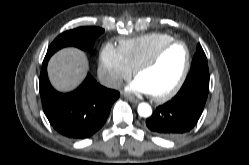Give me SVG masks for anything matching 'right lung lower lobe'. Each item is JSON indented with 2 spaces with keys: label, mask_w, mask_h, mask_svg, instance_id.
I'll use <instances>...</instances> for the list:
<instances>
[{
  "label": "right lung lower lobe",
  "mask_w": 249,
  "mask_h": 165,
  "mask_svg": "<svg viewBox=\"0 0 249 165\" xmlns=\"http://www.w3.org/2000/svg\"><path fill=\"white\" fill-rule=\"evenodd\" d=\"M49 59L50 56L46 55L39 80L46 117L56 131L68 138L90 137L104 125L112 104L119 98V92L101 86L88 74L75 91L59 93L48 80Z\"/></svg>",
  "instance_id": "1"
}]
</instances>
